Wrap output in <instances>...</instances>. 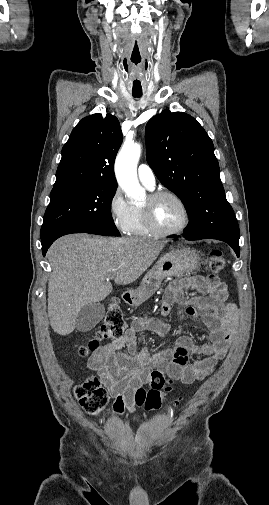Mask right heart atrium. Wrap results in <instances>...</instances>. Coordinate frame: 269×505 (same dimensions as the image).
<instances>
[{
  "mask_svg": "<svg viewBox=\"0 0 269 505\" xmlns=\"http://www.w3.org/2000/svg\"><path fill=\"white\" fill-rule=\"evenodd\" d=\"M109 217L117 230L127 233L130 227L132 208L122 190L116 187L108 200Z\"/></svg>",
  "mask_w": 269,
  "mask_h": 505,
  "instance_id": "right-heart-atrium-1",
  "label": "right heart atrium"
}]
</instances>
